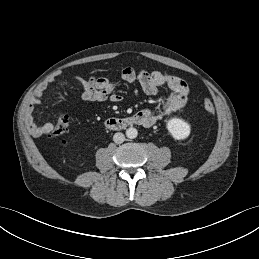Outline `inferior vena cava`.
<instances>
[{
    "instance_id": "inferior-vena-cava-1",
    "label": "inferior vena cava",
    "mask_w": 259,
    "mask_h": 259,
    "mask_svg": "<svg viewBox=\"0 0 259 259\" xmlns=\"http://www.w3.org/2000/svg\"><path fill=\"white\" fill-rule=\"evenodd\" d=\"M124 140H125V136H124L123 133L117 132V133H115L114 136H113V141H114L115 143H117V144L123 143Z\"/></svg>"
}]
</instances>
